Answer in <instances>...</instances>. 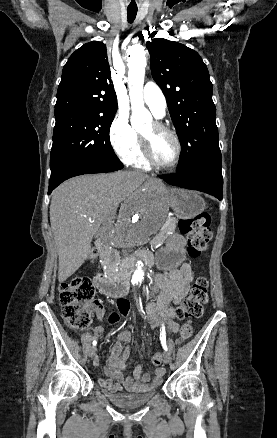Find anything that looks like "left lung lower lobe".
I'll return each instance as SVG.
<instances>
[{"mask_svg":"<svg viewBox=\"0 0 277 438\" xmlns=\"http://www.w3.org/2000/svg\"><path fill=\"white\" fill-rule=\"evenodd\" d=\"M221 167L222 165L208 166L193 173L163 174L159 177L169 184L202 191L222 200L223 178Z\"/></svg>","mask_w":277,"mask_h":438,"instance_id":"1","label":"left lung lower lobe"}]
</instances>
